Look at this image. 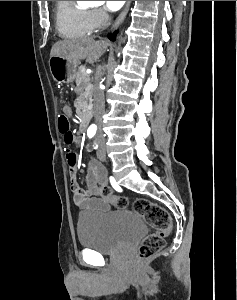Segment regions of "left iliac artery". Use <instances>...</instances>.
<instances>
[{
    "label": "left iliac artery",
    "mask_w": 237,
    "mask_h": 300,
    "mask_svg": "<svg viewBox=\"0 0 237 300\" xmlns=\"http://www.w3.org/2000/svg\"><path fill=\"white\" fill-rule=\"evenodd\" d=\"M97 147H98V146L96 145L94 148L97 149Z\"/></svg>",
    "instance_id": "obj_1"
}]
</instances>
